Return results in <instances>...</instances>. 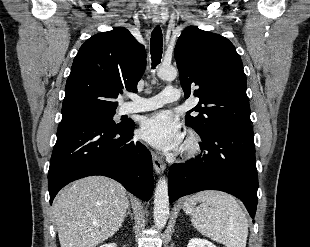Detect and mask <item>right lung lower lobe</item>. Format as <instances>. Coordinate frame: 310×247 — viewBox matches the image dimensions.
<instances>
[{
    "instance_id": "obj_1",
    "label": "right lung lower lobe",
    "mask_w": 310,
    "mask_h": 247,
    "mask_svg": "<svg viewBox=\"0 0 310 247\" xmlns=\"http://www.w3.org/2000/svg\"><path fill=\"white\" fill-rule=\"evenodd\" d=\"M134 126L105 119L61 121L48 172L50 204L65 185L92 175L115 179L148 201L154 187L152 156L133 139Z\"/></svg>"
}]
</instances>
